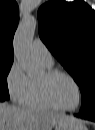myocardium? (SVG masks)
Segmentation results:
<instances>
[{
    "instance_id": "myocardium-1",
    "label": "myocardium",
    "mask_w": 95,
    "mask_h": 130,
    "mask_svg": "<svg viewBox=\"0 0 95 130\" xmlns=\"http://www.w3.org/2000/svg\"><path fill=\"white\" fill-rule=\"evenodd\" d=\"M57 76H65L68 79H70L74 85L76 86L77 90H78V94H79V100L76 106L72 107V108H66L63 107L59 104H57L51 94H50V82L56 78ZM39 83V87H40V91L42 94V97L44 98V100L50 105L52 106L54 109H58L61 111H66V112H73L76 111L83 102V91L82 88L79 84V82L69 73L63 71V70H58V69H49L45 72V78L43 80H38Z\"/></svg>"
}]
</instances>
